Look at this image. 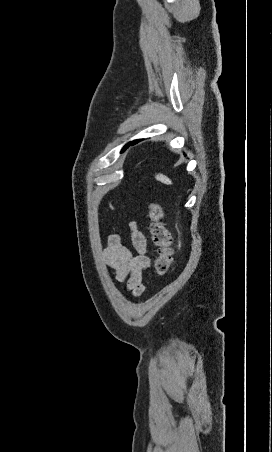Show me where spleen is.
<instances>
[{
  "label": "spleen",
  "mask_w": 272,
  "mask_h": 452,
  "mask_svg": "<svg viewBox=\"0 0 272 452\" xmlns=\"http://www.w3.org/2000/svg\"><path fill=\"white\" fill-rule=\"evenodd\" d=\"M156 179L166 185L172 184L171 180L163 174H157Z\"/></svg>",
  "instance_id": "spleen-1"
}]
</instances>
